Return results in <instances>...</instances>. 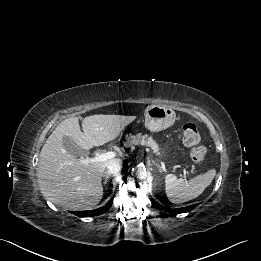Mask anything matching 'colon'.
<instances>
[{"label": "colon", "instance_id": "1", "mask_svg": "<svg viewBox=\"0 0 261 261\" xmlns=\"http://www.w3.org/2000/svg\"><path fill=\"white\" fill-rule=\"evenodd\" d=\"M183 141L191 147L190 158L195 164H200L205 160L206 149L200 145L201 136L194 123H186L183 126Z\"/></svg>", "mask_w": 261, "mask_h": 261}]
</instances>
